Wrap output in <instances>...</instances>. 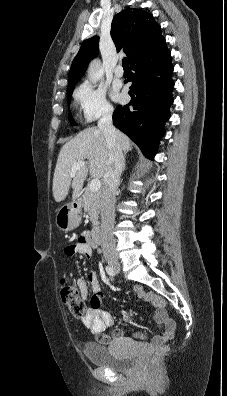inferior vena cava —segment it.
I'll return each mask as SVG.
<instances>
[{
    "label": "inferior vena cava",
    "mask_w": 227,
    "mask_h": 396,
    "mask_svg": "<svg viewBox=\"0 0 227 396\" xmlns=\"http://www.w3.org/2000/svg\"><path fill=\"white\" fill-rule=\"evenodd\" d=\"M113 109H107L98 121L110 149L109 164L103 176L101 192V240L104 256L116 255L114 238L115 197L123 167V152L112 123Z\"/></svg>",
    "instance_id": "1"
}]
</instances>
